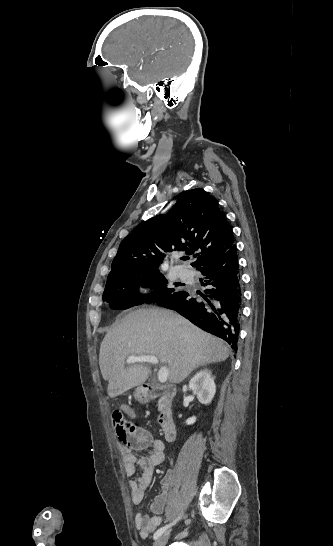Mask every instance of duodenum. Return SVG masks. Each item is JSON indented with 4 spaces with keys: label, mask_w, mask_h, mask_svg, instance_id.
Here are the masks:
<instances>
[{
    "label": "duodenum",
    "mask_w": 333,
    "mask_h": 546,
    "mask_svg": "<svg viewBox=\"0 0 333 546\" xmlns=\"http://www.w3.org/2000/svg\"><path fill=\"white\" fill-rule=\"evenodd\" d=\"M141 393L146 400L157 398L161 400L162 408L158 416V421L162 428V434L166 441H174L176 426L172 415V403L176 395V388L170 385H143Z\"/></svg>",
    "instance_id": "obj_1"
}]
</instances>
